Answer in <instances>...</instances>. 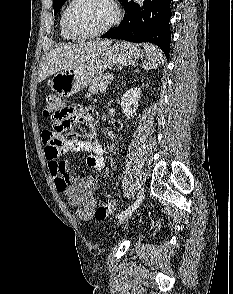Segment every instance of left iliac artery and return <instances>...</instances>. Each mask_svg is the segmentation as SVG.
<instances>
[{
	"instance_id": "1",
	"label": "left iliac artery",
	"mask_w": 233,
	"mask_h": 294,
	"mask_svg": "<svg viewBox=\"0 0 233 294\" xmlns=\"http://www.w3.org/2000/svg\"><path fill=\"white\" fill-rule=\"evenodd\" d=\"M143 199H144V193L142 191H140L138 193L137 200L131 206H129L127 209H125L124 211H122L121 213H119L116 216V218H120L121 216H123V214L130 213L131 211H133L136 208H138L140 206V204L143 202Z\"/></svg>"
}]
</instances>
